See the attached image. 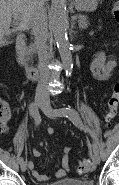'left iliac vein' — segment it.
I'll return each instance as SVG.
<instances>
[{
    "mask_svg": "<svg viewBox=\"0 0 119 185\" xmlns=\"http://www.w3.org/2000/svg\"><path fill=\"white\" fill-rule=\"evenodd\" d=\"M42 110L48 117L53 119L61 118L62 116H64L61 110L53 109L49 102L45 103ZM92 160L95 164L100 163V156L98 152L93 151Z\"/></svg>",
    "mask_w": 119,
    "mask_h": 185,
    "instance_id": "obj_1",
    "label": "left iliac vein"
}]
</instances>
